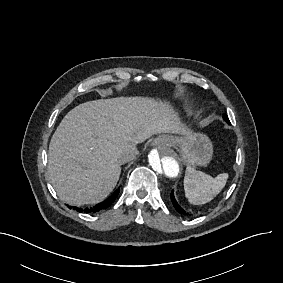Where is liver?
<instances>
[{
	"mask_svg": "<svg viewBox=\"0 0 283 283\" xmlns=\"http://www.w3.org/2000/svg\"><path fill=\"white\" fill-rule=\"evenodd\" d=\"M176 113L148 98H114L78 105L55 131L48 155L50 180L59 197L81 206L104 200L115 188L128 145L155 134H187Z\"/></svg>",
	"mask_w": 283,
	"mask_h": 283,
	"instance_id": "1",
	"label": "liver"
}]
</instances>
